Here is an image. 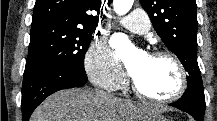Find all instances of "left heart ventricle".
Here are the masks:
<instances>
[{
    "label": "left heart ventricle",
    "instance_id": "obj_1",
    "mask_svg": "<svg viewBox=\"0 0 217 121\" xmlns=\"http://www.w3.org/2000/svg\"><path fill=\"white\" fill-rule=\"evenodd\" d=\"M133 77L143 91L159 97L171 94L178 83L175 67L165 58L148 57Z\"/></svg>",
    "mask_w": 217,
    "mask_h": 121
}]
</instances>
